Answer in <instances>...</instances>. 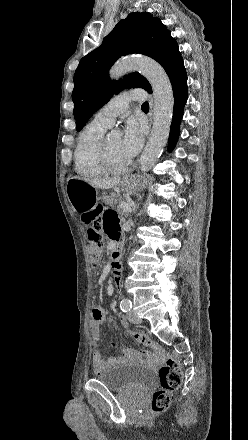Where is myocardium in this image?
<instances>
[{"instance_id":"myocardium-1","label":"myocardium","mask_w":248,"mask_h":440,"mask_svg":"<svg viewBox=\"0 0 248 440\" xmlns=\"http://www.w3.org/2000/svg\"><path fill=\"white\" fill-rule=\"evenodd\" d=\"M99 162L104 171L109 174H121L127 172L131 166L130 162L124 166H116L112 163L108 150L107 137H103L100 143Z\"/></svg>"}]
</instances>
